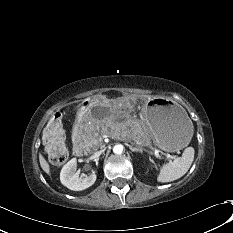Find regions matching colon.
<instances>
[{"instance_id": "1", "label": "colon", "mask_w": 233, "mask_h": 233, "mask_svg": "<svg viewBox=\"0 0 233 233\" xmlns=\"http://www.w3.org/2000/svg\"><path fill=\"white\" fill-rule=\"evenodd\" d=\"M45 152L49 160L55 165L65 163L68 158V150L64 140V130L61 117L53 115L49 120L44 133Z\"/></svg>"}]
</instances>
